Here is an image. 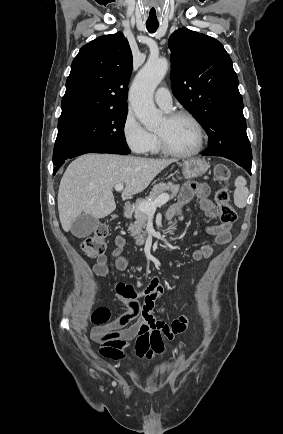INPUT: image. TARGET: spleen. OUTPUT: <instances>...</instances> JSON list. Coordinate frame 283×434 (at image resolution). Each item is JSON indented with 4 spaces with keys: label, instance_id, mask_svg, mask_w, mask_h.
Instances as JSON below:
<instances>
[{
    "label": "spleen",
    "instance_id": "1",
    "mask_svg": "<svg viewBox=\"0 0 283 434\" xmlns=\"http://www.w3.org/2000/svg\"><path fill=\"white\" fill-rule=\"evenodd\" d=\"M234 203L238 208L246 206L248 197V189L246 187V179L242 176L237 177L235 180Z\"/></svg>",
    "mask_w": 283,
    "mask_h": 434
}]
</instances>
